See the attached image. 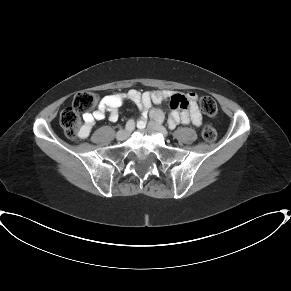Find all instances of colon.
Segmentation results:
<instances>
[{"mask_svg": "<svg viewBox=\"0 0 291 291\" xmlns=\"http://www.w3.org/2000/svg\"><path fill=\"white\" fill-rule=\"evenodd\" d=\"M98 99L97 93L92 90L81 91L74 96L71 106L61 111L59 123L68 138H79L80 115L90 112L98 103ZM199 106L205 114L211 117H215L218 113L216 101L211 96H203L200 98ZM181 107L188 109L191 107V104L183 102ZM170 108L172 110L178 108L176 100L170 101ZM202 137L206 142H212L216 138V130L212 126L206 125L202 129Z\"/></svg>", "mask_w": 291, "mask_h": 291, "instance_id": "1", "label": "colon"}]
</instances>
